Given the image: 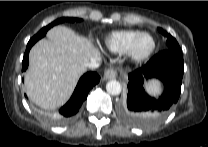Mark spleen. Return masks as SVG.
I'll return each instance as SVG.
<instances>
[{"mask_svg":"<svg viewBox=\"0 0 208 147\" xmlns=\"http://www.w3.org/2000/svg\"><path fill=\"white\" fill-rule=\"evenodd\" d=\"M145 87L147 92L152 96H158L162 91L160 83L155 80L145 83Z\"/></svg>","mask_w":208,"mask_h":147,"instance_id":"1","label":"spleen"}]
</instances>
